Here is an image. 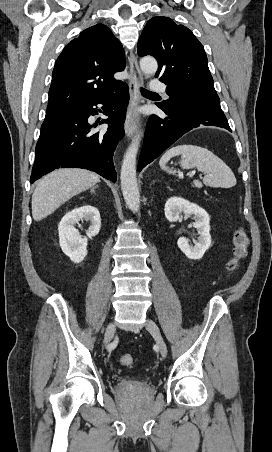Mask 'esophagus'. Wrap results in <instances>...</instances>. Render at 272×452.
Returning a JSON list of instances; mask_svg holds the SVG:
<instances>
[{"label": "esophagus", "mask_w": 272, "mask_h": 452, "mask_svg": "<svg viewBox=\"0 0 272 452\" xmlns=\"http://www.w3.org/2000/svg\"><path fill=\"white\" fill-rule=\"evenodd\" d=\"M128 61L131 75V79L129 82L131 101L125 120V134L128 137H131L137 129V116L135 114V108L139 105L141 101L139 88L143 84V77L137 59L133 53H130Z\"/></svg>", "instance_id": "obj_1"}]
</instances>
